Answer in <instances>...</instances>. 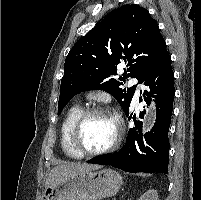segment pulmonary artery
Listing matches in <instances>:
<instances>
[{
    "instance_id": "e3ab8cb5",
    "label": "pulmonary artery",
    "mask_w": 201,
    "mask_h": 200,
    "mask_svg": "<svg viewBox=\"0 0 201 200\" xmlns=\"http://www.w3.org/2000/svg\"><path fill=\"white\" fill-rule=\"evenodd\" d=\"M134 83H136V80H134ZM138 88H140L139 85H138ZM138 97H139V93L137 92V93L135 94L134 100L137 101V100H138Z\"/></svg>"
}]
</instances>
